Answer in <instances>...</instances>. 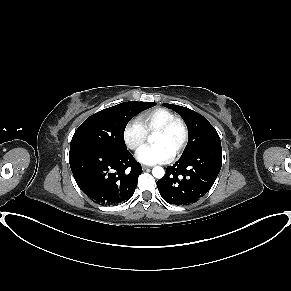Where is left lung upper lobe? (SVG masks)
<instances>
[{
  "label": "left lung upper lobe",
  "mask_w": 291,
  "mask_h": 291,
  "mask_svg": "<svg viewBox=\"0 0 291 291\" xmlns=\"http://www.w3.org/2000/svg\"><path fill=\"white\" fill-rule=\"evenodd\" d=\"M165 107L180 114L188 126V144L182 156L210 145L221 144L215 128L201 114L178 105L163 104Z\"/></svg>",
  "instance_id": "obj_1"
}]
</instances>
